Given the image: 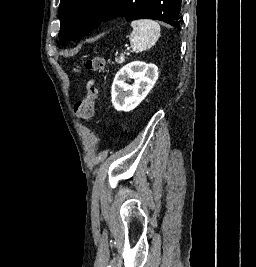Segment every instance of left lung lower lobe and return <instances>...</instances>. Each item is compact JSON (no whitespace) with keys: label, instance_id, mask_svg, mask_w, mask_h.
Segmentation results:
<instances>
[{"label":"left lung lower lobe","instance_id":"1","mask_svg":"<svg viewBox=\"0 0 256 267\" xmlns=\"http://www.w3.org/2000/svg\"><path fill=\"white\" fill-rule=\"evenodd\" d=\"M181 2H182V0H175V5H176V24H175V26L177 28L179 27L180 29H181V16H180Z\"/></svg>","mask_w":256,"mask_h":267}]
</instances>
